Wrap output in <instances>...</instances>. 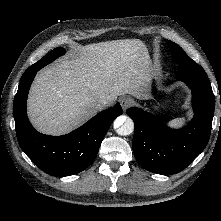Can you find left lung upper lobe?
Here are the masks:
<instances>
[{
  "label": "left lung upper lobe",
  "instance_id": "1",
  "mask_svg": "<svg viewBox=\"0 0 221 221\" xmlns=\"http://www.w3.org/2000/svg\"><path fill=\"white\" fill-rule=\"evenodd\" d=\"M168 45L171 49L173 57L175 58V60L177 62H179V64L181 62H188V61L192 60L191 58H189L187 56V54L184 52V50L182 48H180L176 43L169 42Z\"/></svg>",
  "mask_w": 221,
  "mask_h": 221
}]
</instances>
